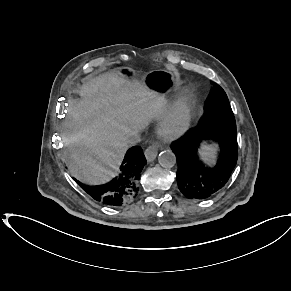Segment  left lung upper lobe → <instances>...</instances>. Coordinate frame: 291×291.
Returning <instances> with one entry per match:
<instances>
[{"instance_id": "obj_1", "label": "left lung upper lobe", "mask_w": 291, "mask_h": 291, "mask_svg": "<svg viewBox=\"0 0 291 291\" xmlns=\"http://www.w3.org/2000/svg\"><path fill=\"white\" fill-rule=\"evenodd\" d=\"M204 109L205 122L236 126L227 95L218 84L214 83Z\"/></svg>"}]
</instances>
